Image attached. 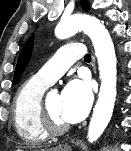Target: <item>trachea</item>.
Here are the masks:
<instances>
[{
	"label": "trachea",
	"mask_w": 131,
	"mask_h": 151,
	"mask_svg": "<svg viewBox=\"0 0 131 151\" xmlns=\"http://www.w3.org/2000/svg\"><path fill=\"white\" fill-rule=\"evenodd\" d=\"M86 62H90L91 61V55L90 54H86L84 57Z\"/></svg>",
	"instance_id": "3493384b"
}]
</instances>
